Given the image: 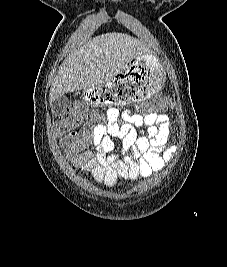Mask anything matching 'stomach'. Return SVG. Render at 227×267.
I'll use <instances>...</instances> for the list:
<instances>
[{
  "label": "stomach",
  "mask_w": 227,
  "mask_h": 267,
  "mask_svg": "<svg viewBox=\"0 0 227 267\" xmlns=\"http://www.w3.org/2000/svg\"><path fill=\"white\" fill-rule=\"evenodd\" d=\"M165 80L158 59L150 54L131 60L105 87L86 89L85 104L95 106H129L161 90Z\"/></svg>",
  "instance_id": "1"
}]
</instances>
